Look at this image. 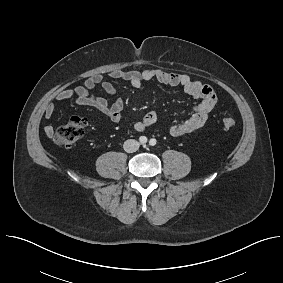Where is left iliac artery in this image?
<instances>
[{"instance_id":"1","label":"left iliac artery","mask_w":283,"mask_h":283,"mask_svg":"<svg viewBox=\"0 0 283 283\" xmlns=\"http://www.w3.org/2000/svg\"><path fill=\"white\" fill-rule=\"evenodd\" d=\"M149 144L154 146L156 144V139H150Z\"/></svg>"}]
</instances>
